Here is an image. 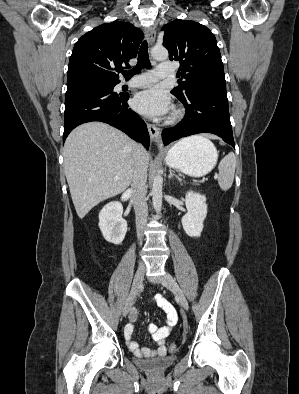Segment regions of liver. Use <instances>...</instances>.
Returning <instances> with one entry per match:
<instances>
[{"instance_id": "1", "label": "liver", "mask_w": 299, "mask_h": 394, "mask_svg": "<svg viewBox=\"0 0 299 394\" xmlns=\"http://www.w3.org/2000/svg\"><path fill=\"white\" fill-rule=\"evenodd\" d=\"M136 151L133 140L105 123H85L69 134L63 149L64 171L79 218L129 187ZM144 156L148 163L146 151Z\"/></svg>"}]
</instances>
